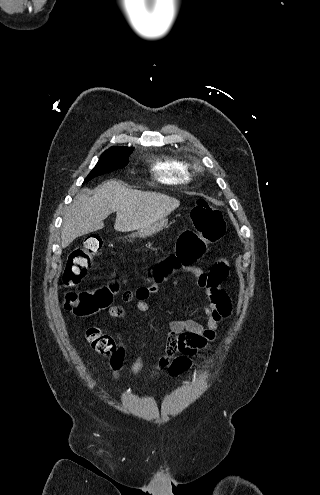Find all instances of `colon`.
Listing matches in <instances>:
<instances>
[{"label":"colon","instance_id":"obj_1","mask_svg":"<svg viewBox=\"0 0 320 495\" xmlns=\"http://www.w3.org/2000/svg\"><path fill=\"white\" fill-rule=\"evenodd\" d=\"M193 227L180 232L174 252L164 257L145 275L159 282L172 270L190 267L199 262L209 251L212 244L220 241L225 235V222L222 214L206 199L199 198L191 211ZM102 237L89 235L68 257L63 276V285L67 288L77 287L91 268L92 260L102 249ZM119 289L116 279L108 286L92 291H70L66 293L64 307L80 316H91L107 308L114 293ZM137 298H143L137 293ZM87 341L93 350L102 355H112L111 363H118L114 339L101 332L97 327L86 331Z\"/></svg>","mask_w":320,"mask_h":495}]
</instances>
